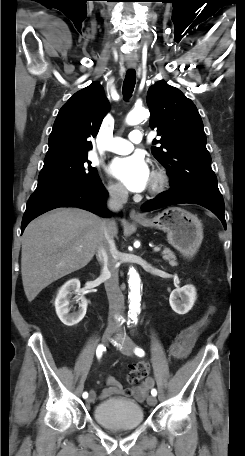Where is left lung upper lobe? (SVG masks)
<instances>
[{"label": "left lung upper lobe", "instance_id": "left-lung-upper-lobe-1", "mask_svg": "<svg viewBox=\"0 0 245 456\" xmlns=\"http://www.w3.org/2000/svg\"><path fill=\"white\" fill-rule=\"evenodd\" d=\"M154 157L168 170L171 189L220 193L206 149L202 119L194 103L179 89L158 81L147 94Z\"/></svg>", "mask_w": 245, "mask_h": 456}]
</instances>
